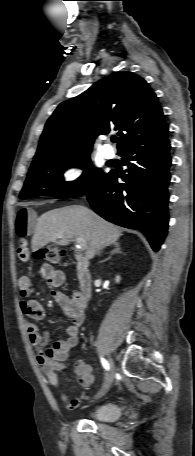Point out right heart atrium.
I'll return each mask as SVG.
<instances>
[{
  "label": "right heart atrium",
  "instance_id": "obj_1",
  "mask_svg": "<svg viewBox=\"0 0 195 456\" xmlns=\"http://www.w3.org/2000/svg\"><path fill=\"white\" fill-rule=\"evenodd\" d=\"M86 174V166L81 162L73 161L65 164L61 168L59 178L64 185L76 186L85 179Z\"/></svg>",
  "mask_w": 195,
  "mask_h": 456
}]
</instances>
